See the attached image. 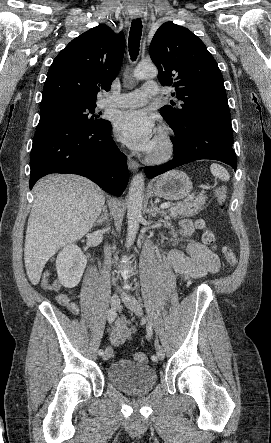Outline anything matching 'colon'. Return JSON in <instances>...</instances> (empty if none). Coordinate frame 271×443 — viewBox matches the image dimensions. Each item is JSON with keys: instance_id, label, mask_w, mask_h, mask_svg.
<instances>
[{"instance_id": "colon-1", "label": "colon", "mask_w": 271, "mask_h": 443, "mask_svg": "<svg viewBox=\"0 0 271 443\" xmlns=\"http://www.w3.org/2000/svg\"><path fill=\"white\" fill-rule=\"evenodd\" d=\"M217 202L222 206L227 199V190L225 187H217L214 191ZM198 226L204 230L203 232V240L206 244L212 245L215 242V235L211 230L206 229L204 222H198ZM223 256L226 262L234 267L237 264V258L235 253L230 247H223ZM134 359L140 363H146L148 361V357L146 354L142 352H138L134 354Z\"/></svg>"}]
</instances>
